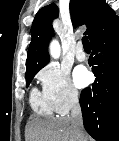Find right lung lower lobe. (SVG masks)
I'll return each instance as SVG.
<instances>
[{"label":"right lung lower lobe","mask_w":119,"mask_h":141,"mask_svg":"<svg viewBox=\"0 0 119 141\" xmlns=\"http://www.w3.org/2000/svg\"><path fill=\"white\" fill-rule=\"evenodd\" d=\"M89 65L96 79L81 92L86 131L96 141H119V19L112 16L90 40Z\"/></svg>","instance_id":"98d812e1"}]
</instances>
